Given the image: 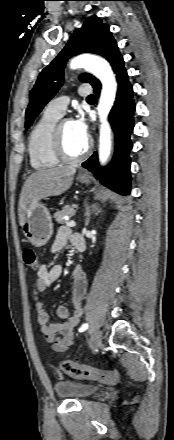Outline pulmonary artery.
Segmentation results:
<instances>
[{
	"label": "pulmonary artery",
	"mask_w": 174,
	"mask_h": 440,
	"mask_svg": "<svg viewBox=\"0 0 174 440\" xmlns=\"http://www.w3.org/2000/svg\"><path fill=\"white\" fill-rule=\"evenodd\" d=\"M92 92V89L88 85H81L79 87L78 93L80 96H89ZM69 99L68 97H58L50 101L46 106V111L50 113L57 114L62 116L67 108Z\"/></svg>",
	"instance_id": "1"
}]
</instances>
